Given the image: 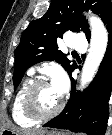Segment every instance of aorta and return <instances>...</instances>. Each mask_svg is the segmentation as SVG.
<instances>
[{
    "mask_svg": "<svg viewBox=\"0 0 112 135\" xmlns=\"http://www.w3.org/2000/svg\"><path fill=\"white\" fill-rule=\"evenodd\" d=\"M89 22L91 26V40L81 73L80 88L82 90L95 77L105 55L108 43V33L102 20L95 15H91Z\"/></svg>",
    "mask_w": 112,
    "mask_h": 135,
    "instance_id": "obj_1",
    "label": "aorta"
}]
</instances>
